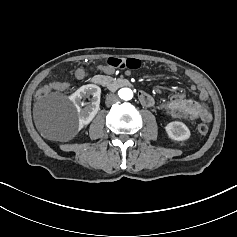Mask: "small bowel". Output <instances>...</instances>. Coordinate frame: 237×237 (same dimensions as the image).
<instances>
[{
    "mask_svg": "<svg viewBox=\"0 0 237 237\" xmlns=\"http://www.w3.org/2000/svg\"><path fill=\"white\" fill-rule=\"evenodd\" d=\"M99 69L107 74H111L115 71V68L108 64L99 66ZM170 71H177V67L171 66ZM186 74L190 79L191 90H197L199 92V102L189 99L185 94L181 93L174 95L167 101L157 105L152 95L145 91H140L138 94L140 103L147 108H154L155 106H158L173 118H185L190 120L201 119L205 122L211 121L212 113L207 104L209 95L206 88L199 83L198 79L194 75L189 73ZM85 76V71H82L76 75L78 79H83ZM50 87L51 89L62 91L67 89L68 85L66 83L55 82L52 83Z\"/></svg>",
    "mask_w": 237,
    "mask_h": 237,
    "instance_id": "obj_1",
    "label": "small bowel"
}]
</instances>
